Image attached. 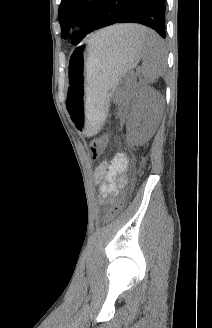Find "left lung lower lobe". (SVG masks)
<instances>
[{
    "mask_svg": "<svg viewBox=\"0 0 212 328\" xmlns=\"http://www.w3.org/2000/svg\"><path fill=\"white\" fill-rule=\"evenodd\" d=\"M115 23H139L165 38V0H105L94 30Z\"/></svg>",
    "mask_w": 212,
    "mask_h": 328,
    "instance_id": "0a47b994",
    "label": "left lung lower lobe"
}]
</instances>
